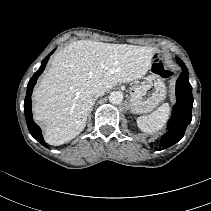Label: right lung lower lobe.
<instances>
[{
    "label": "right lung lower lobe",
    "instance_id": "obj_1",
    "mask_svg": "<svg viewBox=\"0 0 211 211\" xmlns=\"http://www.w3.org/2000/svg\"><path fill=\"white\" fill-rule=\"evenodd\" d=\"M54 51H52L46 58H44V60L41 63L40 68L38 69V71L35 72V74L33 75V77L30 79L28 85H27V93H26V97H25V101H24V113H25V117H26V122H27V126L29 129L30 134L43 146L49 148L47 146V144L45 143L43 136H42V132L40 127L33 121L32 118V111H31V94H32V90L34 85L36 84L37 78L41 75V73L44 71L45 67H46V63L50 57V55L53 53Z\"/></svg>",
    "mask_w": 211,
    "mask_h": 211
}]
</instances>
